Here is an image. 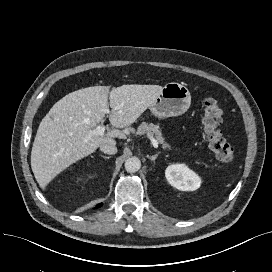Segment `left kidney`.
Here are the masks:
<instances>
[{
  "label": "left kidney",
  "instance_id": "obj_1",
  "mask_svg": "<svg viewBox=\"0 0 272 272\" xmlns=\"http://www.w3.org/2000/svg\"><path fill=\"white\" fill-rule=\"evenodd\" d=\"M169 184L181 191H194L201 185V178L185 164H172L165 170Z\"/></svg>",
  "mask_w": 272,
  "mask_h": 272
}]
</instances>
